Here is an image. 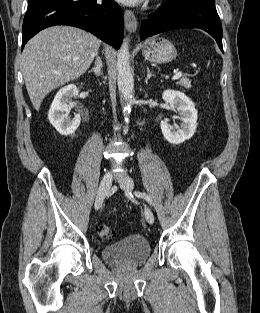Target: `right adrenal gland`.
<instances>
[{
	"label": "right adrenal gland",
	"mask_w": 260,
	"mask_h": 313,
	"mask_svg": "<svg viewBox=\"0 0 260 313\" xmlns=\"http://www.w3.org/2000/svg\"><path fill=\"white\" fill-rule=\"evenodd\" d=\"M102 67H103V64H102V60L101 58L96 55V60H95V67L92 68L90 71H88L89 73L91 72H94V74L96 75V77H99L101 76L103 73H102Z\"/></svg>",
	"instance_id": "1"
}]
</instances>
